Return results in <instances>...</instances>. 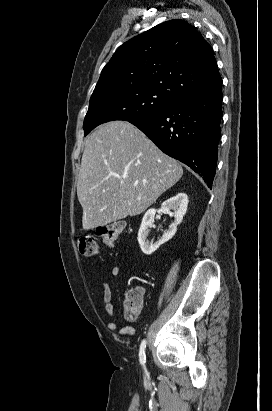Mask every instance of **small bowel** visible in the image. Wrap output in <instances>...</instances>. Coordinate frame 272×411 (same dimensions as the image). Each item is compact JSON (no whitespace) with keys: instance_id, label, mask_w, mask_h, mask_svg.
Returning <instances> with one entry per match:
<instances>
[{"instance_id":"1","label":"small bowel","mask_w":272,"mask_h":411,"mask_svg":"<svg viewBox=\"0 0 272 411\" xmlns=\"http://www.w3.org/2000/svg\"><path fill=\"white\" fill-rule=\"evenodd\" d=\"M121 274V268L120 267H114L111 271V275L113 278L119 277ZM102 298L104 302V307L105 311L110 317H114L116 312L114 309V305L112 303V292L110 285L107 282L102 283ZM107 327L110 330H117L119 334L121 335H129V336H135L137 334L136 329L131 327V326H124V327H119V324L116 321H110L107 324Z\"/></svg>"}]
</instances>
